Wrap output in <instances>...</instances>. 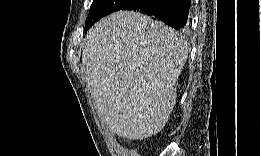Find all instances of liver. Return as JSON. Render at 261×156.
Instances as JSON below:
<instances>
[{"mask_svg": "<svg viewBox=\"0 0 261 156\" xmlns=\"http://www.w3.org/2000/svg\"><path fill=\"white\" fill-rule=\"evenodd\" d=\"M187 57L188 42L161 21L134 11L98 21L82 42V69L101 121L129 140L159 133Z\"/></svg>", "mask_w": 261, "mask_h": 156, "instance_id": "6515ba94", "label": "liver"}]
</instances>
